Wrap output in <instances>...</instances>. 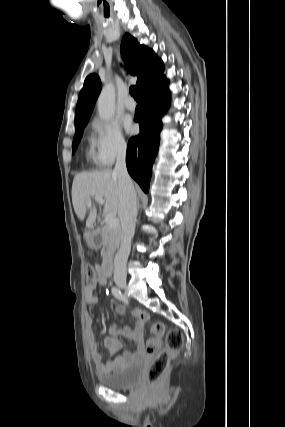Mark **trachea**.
Returning a JSON list of instances; mask_svg holds the SVG:
<instances>
[{
    "mask_svg": "<svg viewBox=\"0 0 285 427\" xmlns=\"http://www.w3.org/2000/svg\"><path fill=\"white\" fill-rule=\"evenodd\" d=\"M129 91H130L131 96H132L135 100H139L138 89H137V87H136V86H131Z\"/></svg>",
    "mask_w": 285,
    "mask_h": 427,
    "instance_id": "1",
    "label": "trachea"
}]
</instances>
